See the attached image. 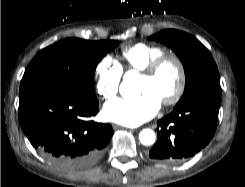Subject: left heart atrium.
Listing matches in <instances>:
<instances>
[{"mask_svg": "<svg viewBox=\"0 0 245 187\" xmlns=\"http://www.w3.org/2000/svg\"><path fill=\"white\" fill-rule=\"evenodd\" d=\"M161 107V101L152 92H143L135 100H117L103 108L105 120L124 126H138L153 118Z\"/></svg>", "mask_w": 245, "mask_h": 187, "instance_id": "39dd6f15", "label": "left heart atrium"}]
</instances>
